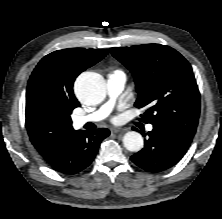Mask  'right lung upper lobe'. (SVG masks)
<instances>
[{
  "label": "right lung upper lobe",
  "mask_w": 222,
  "mask_h": 219,
  "mask_svg": "<svg viewBox=\"0 0 222 219\" xmlns=\"http://www.w3.org/2000/svg\"><path fill=\"white\" fill-rule=\"evenodd\" d=\"M107 53V49L84 48L54 51L31 74L26 92V128L32 144L48 163L77 132L67 111L80 106L73 93L76 77Z\"/></svg>",
  "instance_id": "obj_1"
}]
</instances>
